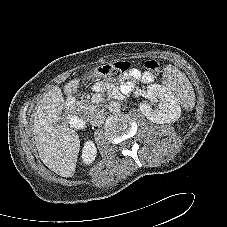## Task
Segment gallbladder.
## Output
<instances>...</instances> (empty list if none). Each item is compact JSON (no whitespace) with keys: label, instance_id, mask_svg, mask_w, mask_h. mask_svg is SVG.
I'll return each instance as SVG.
<instances>
[{"label":"gallbladder","instance_id":"bac80fb5","mask_svg":"<svg viewBox=\"0 0 227 227\" xmlns=\"http://www.w3.org/2000/svg\"><path fill=\"white\" fill-rule=\"evenodd\" d=\"M55 126H66V121L63 118H60L56 123Z\"/></svg>","mask_w":227,"mask_h":227}]
</instances>
